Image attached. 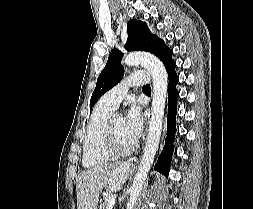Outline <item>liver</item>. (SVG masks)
Instances as JSON below:
<instances>
[{
    "mask_svg": "<svg viewBox=\"0 0 253 209\" xmlns=\"http://www.w3.org/2000/svg\"><path fill=\"white\" fill-rule=\"evenodd\" d=\"M126 164H104L81 172L76 178L77 209H97L104 186L118 190L126 181Z\"/></svg>",
    "mask_w": 253,
    "mask_h": 209,
    "instance_id": "6515ba94",
    "label": "liver"
}]
</instances>
